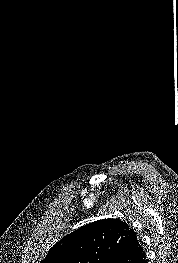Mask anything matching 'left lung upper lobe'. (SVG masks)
Masks as SVG:
<instances>
[{"mask_svg": "<svg viewBox=\"0 0 178 263\" xmlns=\"http://www.w3.org/2000/svg\"><path fill=\"white\" fill-rule=\"evenodd\" d=\"M130 232L119 219L89 223L57 242L41 263H109Z\"/></svg>", "mask_w": 178, "mask_h": 263, "instance_id": "obj_1", "label": "left lung upper lobe"}]
</instances>
